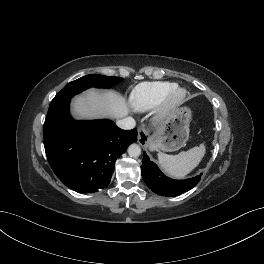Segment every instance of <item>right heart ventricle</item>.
<instances>
[{"mask_svg":"<svg viewBox=\"0 0 264 264\" xmlns=\"http://www.w3.org/2000/svg\"><path fill=\"white\" fill-rule=\"evenodd\" d=\"M177 86L169 81H151L138 84L131 92L130 103L136 111L144 112L157 107L166 94Z\"/></svg>","mask_w":264,"mask_h":264,"instance_id":"right-heart-ventricle-1","label":"right heart ventricle"}]
</instances>
